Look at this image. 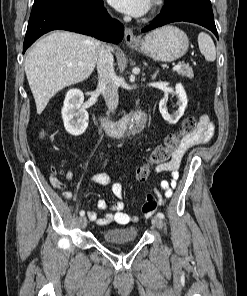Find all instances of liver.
I'll use <instances>...</instances> for the list:
<instances>
[{
    "label": "liver",
    "instance_id": "obj_1",
    "mask_svg": "<svg viewBox=\"0 0 247 296\" xmlns=\"http://www.w3.org/2000/svg\"><path fill=\"white\" fill-rule=\"evenodd\" d=\"M101 46L100 41L85 35L54 31L29 51L25 73L38 114L58 91L91 75Z\"/></svg>",
    "mask_w": 247,
    "mask_h": 296
}]
</instances>
